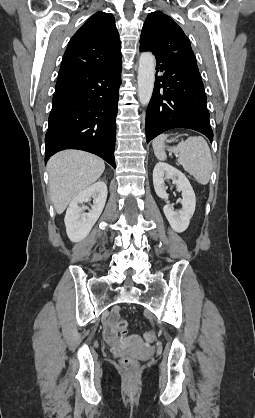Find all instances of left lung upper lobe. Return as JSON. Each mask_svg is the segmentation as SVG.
Wrapping results in <instances>:
<instances>
[{"mask_svg":"<svg viewBox=\"0 0 255 418\" xmlns=\"http://www.w3.org/2000/svg\"><path fill=\"white\" fill-rule=\"evenodd\" d=\"M140 50L151 51L155 56L194 54L183 30L160 11L147 16L141 32Z\"/></svg>","mask_w":255,"mask_h":418,"instance_id":"left-lung-upper-lobe-1","label":"left lung upper lobe"}]
</instances>
